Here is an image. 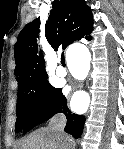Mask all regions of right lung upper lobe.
I'll use <instances>...</instances> for the list:
<instances>
[{
    "instance_id": "1",
    "label": "right lung upper lobe",
    "mask_w": 124,
    "mask_h": 149,
    "mask_svg": "<svg viewBox=\"0 0 124 149\" xmlns=\"http://www.w3.org/2000/svg\"><path fill=\"white\" fill-rule=\"evenodd\" d=\"M52 7L45 36L55 51L81 38L91 40L93 16L85 0H54ZM39 27V18L28 23L15 43V75L19 87L35 86L47 78L43 55L38 53Z\"/></svg>"
}]
</instances>
